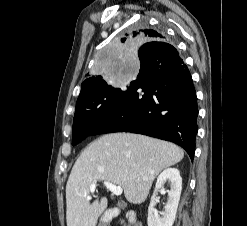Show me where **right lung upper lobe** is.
Segmentation results:
<instances>
[{
  "instance_id": "right-lung-upper-lobe-1",
  "label": "right lung upper lobe",
  "mask_w": 247,
  "mask_h": 226,
  "mask_svg": "<svg viewBox=\"0 0 247 226\" xmlns=\"http://www.w3.org/2000/svg\"><path fill=\"white\" fill-rule=\"evenodd\" d=\"M166 37L162 35L160 32L153 30L149 27H143L139 30L133 31L131 33H126L121 41H142V42H155V41H164ZM101 79L95 76L88 77L81 85V92L79 96L93 90L99 83Z\"/></svg>"
}]
</instances>
